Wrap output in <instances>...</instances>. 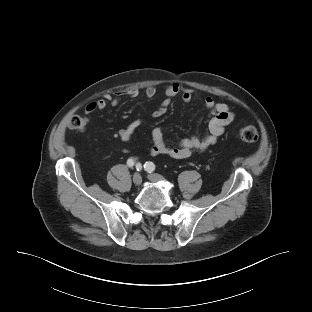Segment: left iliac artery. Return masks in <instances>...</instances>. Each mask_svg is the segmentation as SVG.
<instances>
[{
	"instance_id": "44dca946",
	"label": "left iliac artery",
	"mask_w": 312,
	"mask_h": 312,
	"mask_svg": "<svg viewBox=\"0 0 312 312\" xmlns=\"http://www.w3.org/2000/svg\"><path fill=\"white\" fill-rule=\"evenodd\" d=\"M144 168L147 172L151 173L155 170V165L153 162H146Z\"/></svg>"
}]
</instances>
